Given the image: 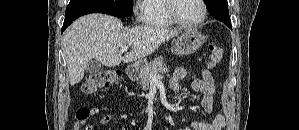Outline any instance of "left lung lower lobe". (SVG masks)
Returning a JSON list of instances; mask_svg holds the SVG:
<instances>
[{
	"label": "left lung lower lobe",
	"instance_id": "1",
	"mask_svg": "<svg viewBox=\"0 0 299 130\" xmlns=\"http://www.w3.org/2000/svg\"><path fill=\"white\" fill-rule=\"evenodd\" d=\"M217 20H219V19H217ZM220 21H223L229 28L232 29V25H231L230 19H221Z\"/></svg>",
	"mask_w": 299,
	"mask_h": 130
}]
</instances>
